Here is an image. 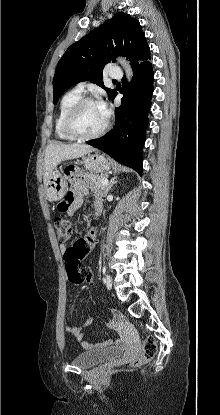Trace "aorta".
I'll return each instance as SVG.
<instances>
[{
    "label": "aorta",
    "instance_id": "1",
    "mask_svg": "<svg viewBox=\"0 0 220 415\" xmlns=\"http://www.w3.org/2000/svg\"><path fill=\"white\" fill-rule=\"evenodd\" d=\"M118 61L121 63V65L125 69L127 79L130 80L132 78L133 73H132V69L130 67L129 62L123 58H119Z\"/></svg>",
    "mask_w": 220,
    "mask_h": 415
}]
</instances>
